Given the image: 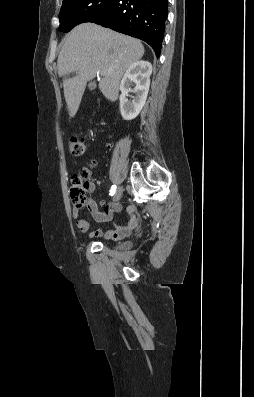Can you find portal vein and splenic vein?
Segmentation results:
<instances>
[{"label":"portal vein and splenic vein","mask_w":254,"mask_h":397,"mask_svg":"<svg viewBox=\"0 0 254 397\" xmlns=\"http://www.w3.org/2000/svg\"><path fill=\"white\" fill-rule=\"evenodd\" d=\"M98 73H100L102 75L104 72L103 71H99Z\"/></svg>","instance_id":"1"}]
</instances>
